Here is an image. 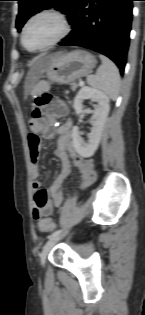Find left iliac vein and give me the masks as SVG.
<instances>
[{
	"instance_id": "obj_1",
	"label": "left iliac vein",
	"mask_w": 145,
	"mask_h": 315,
	"mask_svg": "<svg viewBox=\"0 0 145 315\" xmlns=\"http://www.w3.org/2000/svg\"><path fill=\"white\" fill-rule=\"evenodd\" d=\"M63 237V235H57L52 238H50L47 243L44 245L43 250L40 254V261L41 264L44 265L46 261V257L50 250L55 246V244Z\"/></svg>"
}]
</instances>
